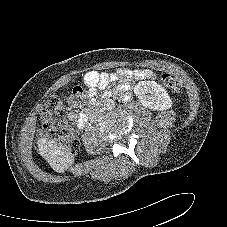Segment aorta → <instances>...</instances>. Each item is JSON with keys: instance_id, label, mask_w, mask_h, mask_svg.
<instances>
[{"instance_id": "762f6f07", "label": "aorta", "mask_w": 227, "mask_h": 227, "mask_svg": "<svg viewBox=\"0 0 227 227\" xmlns=\"http://www.w3.org/2000/svg\"><path fill=\"white\" fill-rule=\"evenodd\" d=\"M104 109L112 110L115 107V102L112 99H106L103 103Z\"/></svg>"}]
</instances>
